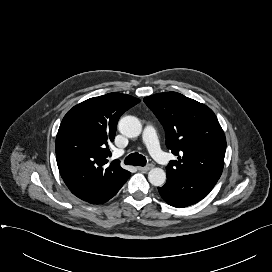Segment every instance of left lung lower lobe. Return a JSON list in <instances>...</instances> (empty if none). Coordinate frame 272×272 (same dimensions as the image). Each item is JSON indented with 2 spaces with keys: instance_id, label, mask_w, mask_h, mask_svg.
I'll list each match as a JSON object with an SVG mask.
<instances>
[{
  "instance_id": "1",
  "label": "left lung lower lobe",
  "mask_w": 272,
  "mask_h": 272,
  "mask_svg": "<svg viewBox=\"0 0 272 272\" xmlns=\"http://www.w3.org/2000/svg\"><path fill=\"white\" fill-rule=\"evenodd\" d=\"M217 182L203 180L190 174L167 177L166 184L158 188L161 197L171 206L183 208L206 197Z\"/></svg>"
}]
</instances>
